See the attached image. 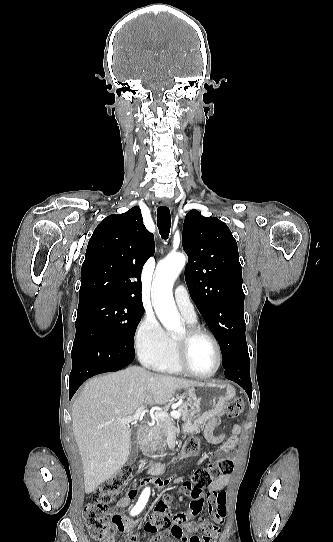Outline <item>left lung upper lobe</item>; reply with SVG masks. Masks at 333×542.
Instances as JSON below:
<instances>
[{
	"mask_svg": "<svg viewBox=\"0 0 333 542\" xmlns=\"http://www.w3.org/2000/svg\"><path fill=\"white\" fill-rule=\"evenodd\" d=\"M182 244L188 255L185 280L190 296L215 334L226 368L247 349L237 242L224 222L191 210Z\"/></svg>",
	"mask_w": 333,
	"mask_h": 542,
	"instance_id": "left-lung-upper-lobe-1",
	"label": "left lung upper lobe"
}]
</instances>
